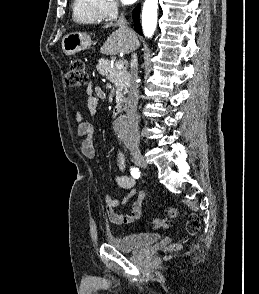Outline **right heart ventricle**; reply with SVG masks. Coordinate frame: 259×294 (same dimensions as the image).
Wrapping results in <instances>:
<instances>
[{"mask_svg": "<svg viewBox=\"0 0 259 294\" xmlns=\"http://www.w3.org/2000/svg\"><path fill=\"white\" fill-rule=\"evenodd\" d=\"M73 18L78 23H100L105 19L100 0H73Z\"/></svg>", "mask_w": 259, "mask_h": 294, "instance_id": "e07e8e85", "label": "right heart ventricle"}]
</instances>
